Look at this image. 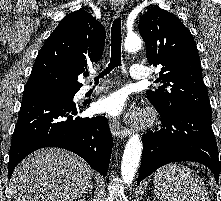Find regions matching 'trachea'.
<instances>
[{
  "label": "trachea",
  "instance_id": "3493384b",
  "mask_svg": "<svg viewBox=\"0 0 221 201\" xmlns=\"http://www.w3.org/2000/svg\"><path fill=\"white\" fill-rule=\"evenodd\" d=\"M121 19L116 18L111 27V59L108 67L95 77V82L99 81L104 75L108 74L115 67L121 66ZM85 76H89L86 74Z\"/></svg>",
  "mask_w": 221,
  "mask_h": 201
}]
</instances>
